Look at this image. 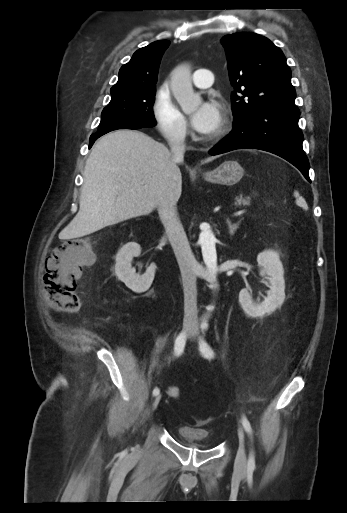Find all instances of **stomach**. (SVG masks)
Instances as JSON below:
<instances>
[{
  "instance_id": "0dacf381",
  "label": "stomach",
  "mask_w": 347,
  "mask_h": 513,
  "mask_svg": "<svg viewBox=\"0 0 347 513\" xmlns=\"http://www.w3.org/2000/svg\"><path fill=\"white\" fill-rule=\"evenodd\" d=\"M244 175V169L236 160H227L215 170L204 174V179L214 184L232 186Z\"/></svg>"
}]
</instances>
